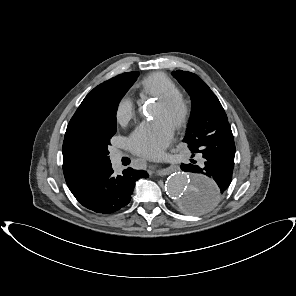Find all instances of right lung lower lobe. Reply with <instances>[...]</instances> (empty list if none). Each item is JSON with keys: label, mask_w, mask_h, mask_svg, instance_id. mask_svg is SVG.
Returning a JSON list of instances; mask_svg holds the SVG:
<instances>
[{"label": "right lung lower lobe", "mask_w": 296, "mask_h": 296, "mask_svg": "<svg viewBox=\"0 0 296 296\" xmlns=\"http://www.w3.org/2000/svg\"><path fill=\"white\" fill-rule=\"evenodd\" d=\"M147 177L149 175L146 171H137L132 168L126 169L122 176H114L110 165L92 175L71 192L87 209L108 214L126 206L131 200L135 182L139 178Z\"/></svg>", "instance_id": "1"}]
</instances>
